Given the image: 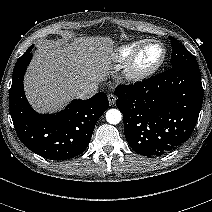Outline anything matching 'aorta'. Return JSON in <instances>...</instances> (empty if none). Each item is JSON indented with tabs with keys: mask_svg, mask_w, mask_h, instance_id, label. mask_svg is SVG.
Masks as SVG:
<instances>
[{
	"mask_svg": "<svg viewBox=\"0 0 212 212\" xmlns=\"http://www.w3.org/2000/svg\"><path fill=\"white\" fill-rule=\"evenodd\" d=\"M106 120L108 123L116 125L122 120V114L118 109H109L106 112Z\"/></svg>",
	"mask_w": 212,
	"mask_h": 212,
	"instance_id": "762f6f07",
	"label": "aorta"
}]
</instances>
